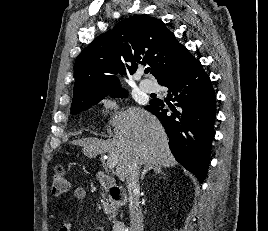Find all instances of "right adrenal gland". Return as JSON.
I'll use <instances>...</instances> for the list:
<instances>
[{
  "mask_svg": "<svg viewBox=\"0 0 268 231\" xmlns=\"http://www.w3.org/2000/svg\"><path fill=\"white\" fill-rule=\"evenodd\" d=\"M150 170H153L156 174H164V175H165V173L163 172V170H162L161 167H158V166H152V165L147 166V165H146V166L144 167L143 171H142V174H141L140 179L143 180L145 174H147V172L150 171Z\"/></svg>",
  "mask_w": 268,
  "mask_h": 231,
  "instance_id": "obj_1",
  "label": "right adrenal gland"
}]
</instances>
